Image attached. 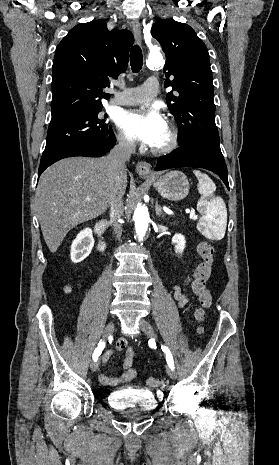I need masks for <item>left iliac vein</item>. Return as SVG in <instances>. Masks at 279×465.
Returning a JSON list of instances; mask_svg holds the SVG:
<instances>
[{
  "instance_id": "1",
  "label": "left iliac vein",
  "mask_w": 279,
  "mask_h": 465,
  "mask_svg": "<svg viewBox=\"0 0 279 465\" xmlns=\"http://www.w3.org/2000/svg\"><path fill=\"white\" fill-rule=\"evenodd\" d=\"M139 327H140L141 331L145 335H147L148 337L156 338V334L154 332V329H153L152 325L148 321H146L145 319H141L139 321ZM167 374L172 380L176 379V377H177L176 371L174 369L170 368V367H167Z\"/></svg>"
}]
</instances>
